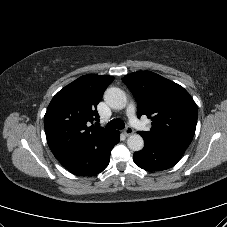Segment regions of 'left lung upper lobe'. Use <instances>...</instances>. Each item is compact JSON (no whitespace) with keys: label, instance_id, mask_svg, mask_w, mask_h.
<instances>
[{"label":"left lung upper lobe","instance_id":"5c2ea615","mask_svg":"<svg viewBox=\"0 0 227 227\" xmlns=\"http://www.w3.org/2000/svg\"><path fill=\"white\" fill-rule=\"evenodd\" d=\"M122 81L138 103V117L152 120L150 131L141 136L188 148L195 134L198 110L189 93L180 85L150 71L131 73Z\"/></svg>","mask_w":227,"mask_h":227}]
</instances>
